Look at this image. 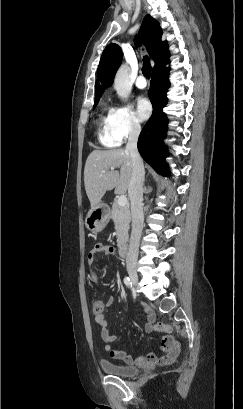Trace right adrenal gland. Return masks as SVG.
Segmentation results:
<instances>
[{
	"label": "right adrenal gland",
	"mask_w": 243,
	"mask_h": 409,
	"mask_svg": "<svg viewBox=\"0 0 243 409\" xmlns=\"http://www.w3.org/2000/svg\"><path fill=\"white\" fill-rule=\"evenodd\" d=\"M144 192H146V187L144 186Z\"/></svg>",
	"instance_id": "obj_1"
}]
</instances>
